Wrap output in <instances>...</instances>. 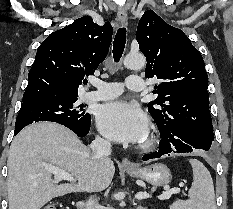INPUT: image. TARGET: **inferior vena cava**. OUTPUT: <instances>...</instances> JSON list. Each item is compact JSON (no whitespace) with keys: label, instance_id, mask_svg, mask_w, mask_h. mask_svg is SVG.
Listing matches in <instances>:
<instances>
[{"label":"inferior vena cava","instance_id":"1","mask_svg":"<svg viewBox=\"0 0 233 209\" xmlns=\"http://www.w3.org/2000/svg\"><path fill=\"white\" fill-rule=\"evenodd\" d=\"M90 148L92 150V154L97 158L108 159L111 154V143L103 138L96 137L94 141H92ZM85 209H102V206L93 198H89L86 202Z\"/></svg>","mask_w":233,"mask_h":209}]
</instances>
